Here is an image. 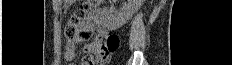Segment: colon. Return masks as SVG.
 <instances>
[{
    "label": "colon",
    "mask_w": 232,
    "mask_h": 65,
    "mask_svg": "<svg viewBox=\"0 0 232 65\" xmlns=\"http://www.w3.org/2000/svg\"><path fill=\"white\" fill-rule=\"evenodd\" d=\"M99 2V0L85 1L71 14L65 27V35L68 39L73 38L79 32L87 12ZM119 43L120 39L117 34L112 32L107 33L103 38H99L87 46L86 49L94 54L93 56H89L87 60L93 64L96 62L104 64L109 54L118 49Z\"/></svg>",
    "instance_id": "1"
}]
</instances>
